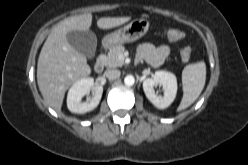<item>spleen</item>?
Wrapping results in <instances>:
<instances>
[{
	"mask_svg": "<svg viewBox=\"0 0 248 165\" xmlns=\"http://www.w3.org/2000/svg\"><path fill=\"white\" fill-rule=\"evenodd\" d=\"M206 80L204 61L187 65L182 72L183 97L177 111L192 105L201 94Z\"/></svg>",
	"mask_w": 248,
	"mask_h": 165,
	"instance_id": "3e777b00",
	"label": "spleen"
}]
</instances>
